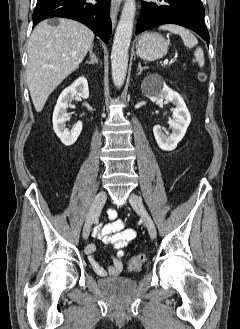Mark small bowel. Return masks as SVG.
<instances>
[{"label":"small bowel","instance_id":"obj_1","mask_svg":"<svg viewBox=\"0 0 240 329\" xmlns=\"http://www.w3.org/2000/svg\"><path fill=\"white\" fill-rule=\"evenodd\" d=\"M109 222L97 226L94 235L99 238L103 244L110 246L113 250L111 264L104 268L95 257L97 245L90 243L86 247V254L90 266L100 276H118L123 270L124 248L129 245L136 237V231L127 228L123 220L117 218L115 210L110 209L107 213Z\"/></svg>","mask_w":240,"mask_h":329}]
</instances>
